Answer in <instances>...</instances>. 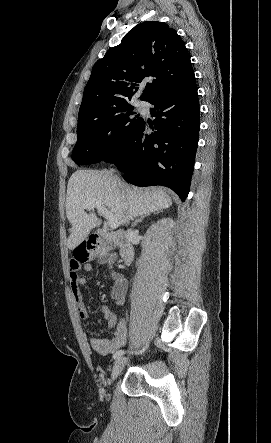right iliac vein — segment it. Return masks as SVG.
I'll return each instance as SVG.
<instances>
[{"instance_id": "obj_1", "label": "right iliac vein", "mask_w": 271, "mask_h": 443, "mask_svg": "<svg viewBox=\"0 0 271 443\" xmlns=\"http://www.w3.org/2000/svg\"><path fill=\"white\" fill-rule=\"evenodd\" d=\"M126 363H127V358L125 357H120L116 360L111 372V381H114L121 374Z\"/></svg>"}]
</instances>
